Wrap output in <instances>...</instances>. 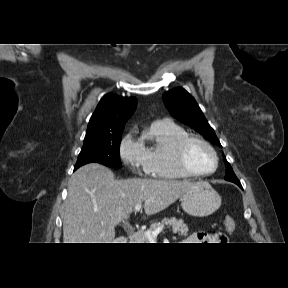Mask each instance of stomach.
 <instances>
[{"label":"stomach","instance_id":"1","mask_svg":"<svg viewBox=\"0 0 288 288\" xmlns=\"http://www.w3.org/2000/svg\"><path fill=\"white\" fill-rule=\"evenodd\" d=\"M221 205V197L207 182H198L192 190L181 198L183 210L195 217H205L214 213Z\"/></svg>","mask_w":288,"mask_h":288}]
</instances>
